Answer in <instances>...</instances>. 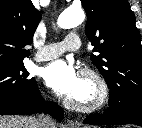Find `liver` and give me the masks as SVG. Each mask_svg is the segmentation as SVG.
<instances>
[{
    "instance_id": "1",
    "label": "liver",
    "mask_w": 142,
    "mask_h": 128,
    "mask_svg": "<svg viewBox=\"0 0 142 128\" xmlns=\"http://www.w3.org/2000/svg\"><path fill=\"white\" fill-rule=\"evenodd\" d=\"M0 128H36V118L20 115L0 116Z\"/></svg>"
}]
</instances>
